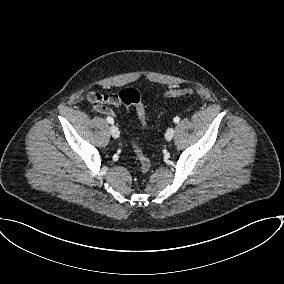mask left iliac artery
Wrapping results in <instances>:
<instances>
[{
  "instance_id": "44dca946",
  "label": "left iliac artery",
  "mask_w": 284,
  "mask_h": 284,
  "mask_svg": "<svg viewBox=\"0 0 284 284\" xmlns=\"http://www.w3.org/2000/svg\"><path fill=\"white\" fill-rule=\"evenodd\" d=\"M179 121H180V118H179V117H175V118H174V122H175V123H179Z\"/></svg>"
}]
</instances>
